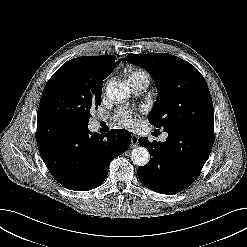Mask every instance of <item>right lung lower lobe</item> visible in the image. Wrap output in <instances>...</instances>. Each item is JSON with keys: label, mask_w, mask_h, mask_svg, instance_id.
Masks as SVG:
<instances>
[{"label": "right lung lower lobe", "mask_w": 247, "mask_h": 247, "mask_svg": "<svg viewBox=\"0 0 247 247\" xmlns=\"http://www.w3.org/2000/svg\"><path fill=\"white\" fill-rule=\"evenodd\" d=\"M106 139L86 128L38 116L37 145L52 176L64 187L88 191L100 186L107 177L112 159L123 154L131 143V134L112 129Z\"/></svg>", "instance_id": "1"}]
</instances>
